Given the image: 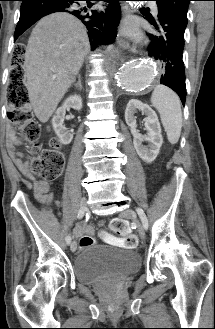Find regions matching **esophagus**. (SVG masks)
<instances>
[{"label":"esophagus","instance_id":"1","mask_svg":"<svg viewBox=\"0 0 215 329\" xmlns=\"http://www.w3.org/2000/svg\"><path fill=\"white\" fill-rule=\"evenodd\" d=\"M122 13L124 17L129 16L132 14V9L127 4H124L122 5ZM118 45L122 49H127V50L131 49L130 42L122 37H118Z\"/></svg>","mask_w":215,"mask_h":329}]
</instances>
